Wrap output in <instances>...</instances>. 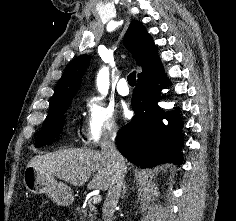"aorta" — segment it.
Here are the masks:
<instances>
[{"instance_id": "aorta-1", "label": "aorta", "mask_w": 236, "mask_h": 221, "mask_svg": "<svg viewBox=\"0 0 236 221\" xmlns=\"http://www.w3.org/2000/svg\"><path fill=\"white\" fill-rule=\"evenodd\" d=\"M108 88H109V71L107 68H104L102 71V77L100 81V90L103 94H106Z\"/></svg>"}]
</instances>
